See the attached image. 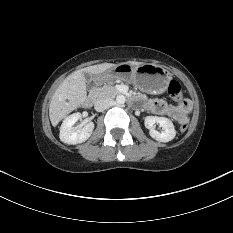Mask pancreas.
<instances>
[{"label":"pancreas","instance_id":"pancreas-1","mask_svg":"<svg viewBox=\"0 0 233 233\" xmlns=\"http://www.w3.org/2000/svg\"><path fill=\"white\" fill-rule=\"evenodd\" d=\"M118 94L119 91L113 86V83L105 84L91 91V95L96 99L114 98Z\"/></svg>","mask_w":233,"mask_h":233}]
</instances>
